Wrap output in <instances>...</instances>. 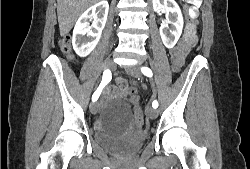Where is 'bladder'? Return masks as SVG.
I'll return each instance as SVG.
<instances>
[{
  "label": "bladder",
  "mask_w": 250,
  "mask_h": 169,
  "mask_svg": "<svg viewBox=\"0 0 250 169\" xmlns=\"http://www.w3.org/2000/svg\"><path fill=\"white\" fill-rule=\"evenodd\" d=\"M138 139H129L128 134L123 133H94V143L100 148L121 155H133L143 145H138Z\"/></svg>",
  "instance_id": "bladder-1"
}]
</instances>
